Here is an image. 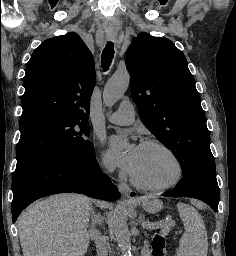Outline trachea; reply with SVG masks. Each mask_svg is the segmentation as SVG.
Here are the masks:
<instances>
[{"label": "trachea", "instance_id": "1", "mask_svg": "<svg viewBox=\"0 0 236 256\" xmlns=\"http://www.w3.org/2000/svg\"><path fill=\"white\" fill-rule=\"evenodd\" d=\"M114 56V46L112 42H107L103 52L101 64L104 71H107L111 65L112 59Z\"/></svg>", "mask_w": 236, "mask_h": 256}]
</instances>
